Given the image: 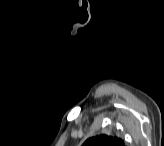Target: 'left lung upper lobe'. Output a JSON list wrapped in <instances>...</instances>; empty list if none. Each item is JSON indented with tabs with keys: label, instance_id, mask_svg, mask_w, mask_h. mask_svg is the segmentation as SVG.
Here are the masks:
<instances>
[{
	"label": "left lung upper lobe",
	"instance_id": "left-lung-upper-lobe-1",
	"mask_svg": "<svg viewBox=\"0 0 164 146\" xmlns=\"http://www.w3.org/2000/svg\"><path fill=\"white\" fill-rule=\"evenodd\" d=\"M83 146H124V142L120 138L102 134L87 139Z\"/></svg>",
	"mask_w": 164,
	"mask_h": 146
}]
</instances>
